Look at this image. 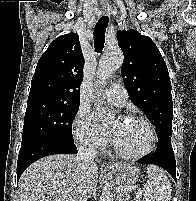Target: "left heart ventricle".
<instances>
[{
    "label": "left heart ventricle",
    "mask_w": 196,
    "mask_h": 201,
    "mask_svg": "<svg viewBox=\"0 0 196 201\" xmlns=\"http://www.w3.org/2000/svg\"><path fill=\"white\" fill-rule=\"evenodd\" d=\"M113 141L127 153L143 151L149 143V131L147 127L138 121H114Z\"/></svg>",
    "instance_id": "1"
}]
</instances>
